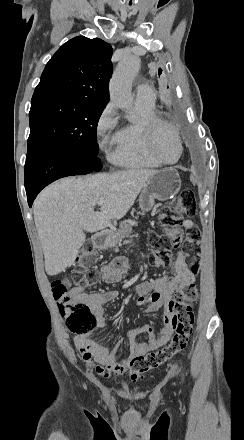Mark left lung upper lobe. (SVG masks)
<instances>
[{
  "label": "left lung upper lobe",
  "mask_w": 244,
  "mask_h": 440,
  "mask_svg": "<svg viewBox=\"0 0 244 440\" xmlns=\"http://www.w3.org/2000/svg\"><path fill=\"white\" fill-rule=\"evenodd\" d=\"M162 73V70L161 69H159V71H158V74H159V76H160V74Z\"/></svg>",
  "instance_id": "obj_1"
}]
</instances>
